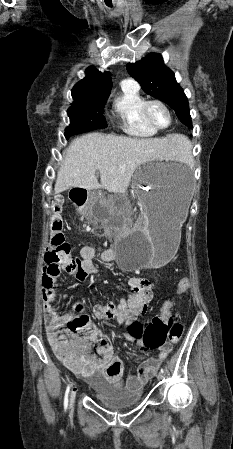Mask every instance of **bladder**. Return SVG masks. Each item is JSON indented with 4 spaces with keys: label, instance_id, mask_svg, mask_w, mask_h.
I'll return each instance as SVG.
<instances>
[{
    "label": "bladder",
    "instance_id": "bladder-1",
    "mask_svg": "<svg viewBox=\"0 0 233 449\" xmlns=\"http://www.w3.org/2000/svg\"><path fill=\"white\" fill-rule=\"evenodd\" d=\"M93 393L98 402L111 410H124L136 406L142 401V389L126 386L117 388L105 382L92 384Z\"/></svg>",
    "mask_w": 233,
    "mask_h": 449
}]
</instances>
